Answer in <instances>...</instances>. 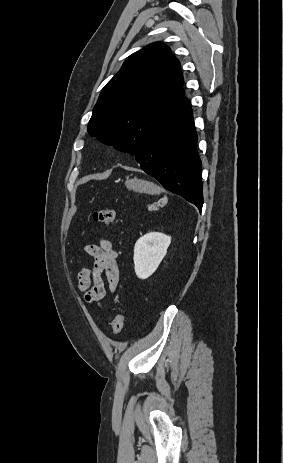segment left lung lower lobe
Here are the masks:
<instances>
[{
	"instance_id": "1",
	"label": "left lung lower lobe",
	"mask_w": 283,
	"mask_h": 463,
	"mask_svg": "<svg viewBox=\"0 0 283 463\" xmlns=\"http://www.w3.org/2000/svg\"><path fill=\"white\" fill-rule=\"evenodd\" d=\"M191 104L159 128L135 155L140 167L167 190L196 205L201 212V160Z\"/></svg>"
}]
</instances>
